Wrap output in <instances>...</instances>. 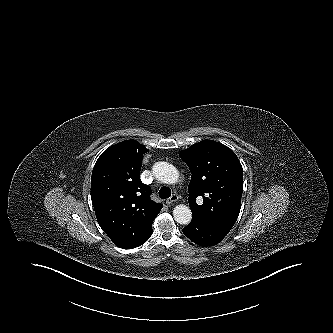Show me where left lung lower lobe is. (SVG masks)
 <instances>
[{
  "instance_id": "1",
  "label": "left lung lower lobe",
  "mask_w": 333,
  "mask_h": 333,
  "mask_svg": "<svg viewBox=\"0 0 333 333\" xmlns=\"http://www.w3.org/2000/svg\"><path fill=\"white\" fill-rule=\"evenodd\" d=\"M183 233L198 245L213 246L219 243L228 231L193 217L191 223L183 228Z\"/></svg>"
}]
</instances>
